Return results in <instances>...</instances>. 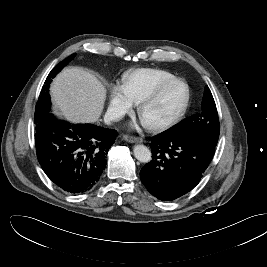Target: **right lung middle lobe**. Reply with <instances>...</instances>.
Masks as SVG:
<instances>
[{
  "mask_svg": "<svg viewBox=\"0 0 267 267\" xmlns=\"http://www.w3.org/2000/svg\"><path fill=\"white\" fill-rule=\"evenodd\" d=\"M76 54H72L68 58H66L64 61L57 64L49 73L45 84L40 92L39 100L36 104L35 108V124L38 123L42 118H44L47 114H49L50 110V95H49V87L52 82V78H54L57 73H59L65 65L68 64L69 61H71Z\"/></svg>",
  "mask_w": 267,
  "mask_h": 267,
  "instance_id": "obj_1",
  "label": "right lung middle lobe"
}]
</instances>
